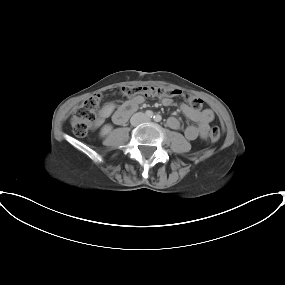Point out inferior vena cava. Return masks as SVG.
<instances>
[{
    "mask_svg": "<svg viewBox=\"0 0 285 285\" xmlns=\"http://www.w3.org/2000/svg\"><path fill=\"white\" fill-rule=\"evenodd\" d=\"M147 120L148 118L144 113L138 112L131 117L130 122L133 126H137L140 123L145 122Z\"/></svg>",
    "mask_w": 285,
    "mask_h": 285,
    "instance_id": "inferior-vena-cava-1",
    "label": "inferior vena cava"
}]
</instances>
